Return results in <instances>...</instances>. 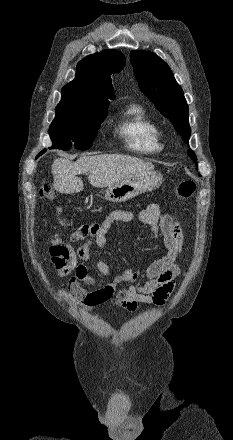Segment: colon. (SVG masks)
<instances>
[{
	"instance_id": "1",
	"label": "colon",
	"mask_w": 233,
	"mask_h": 440,
	"mask_svg": "<svg viewBox=\"0 0 233 440\" xmlns=\"http://www.w3.org/2000/svg\"><path fill=\"white\" fill-rule=\"evenodd\" d=\"M196 189V184L193 180H183L181 181L176 189V194L178 197L187 199L190 198ZM40 196L47 200H52L54 198V192L52 191L50 187L49 180H46L40 190ZM63 225L65 224L64 221L61 222Z\"/></svg>"
}]
</instances>
